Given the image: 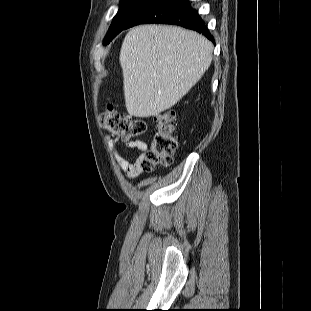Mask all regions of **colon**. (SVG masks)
Returning <instances> with one entry per match:
<instances>
[{"label":"colon","mask_w":311,"mask_h":311,"mask_svg":"<svg viewBox=\"0 0 311 311\" xmlns=\"http://www.w3.org/2000/svg\"><path fill=\"white\" fill-rule=\"evenodd\" d=\"M99 123L109 132L124 138L140 136L146 131V123L143 120L120 114L113 108H108L100 114ZM175 131L174 112L167 111L157 116L150 149L141 162L142 171H151L159 165H168L172 162L174 152L178 147Z\"/></svg>","instance_id":"colon-1"}]
</instances>
